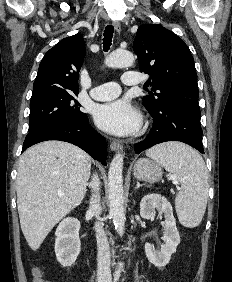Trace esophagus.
I'll use <instances>...</instances> for the list:
<instances>
[{
	"mask_svg": "<svg viewBox=\"0 0 232 282\" xmlns=\"http://www.w3.org/2000/svg\"><path fill=\"white\" fill-rule=\"evenodd\" d=\"M112 25L114 26V28L117 32H120L121 25L118 21H113ZM110 148H111L112 151H121L122 150V146H121L120 142L117 141V140L111 141Z\"/></svg>",
	"mask_w": 232,
	"mask_h": 282,
	"instance_id": "esophagus-1",
	"label": "esophagus"
}]
</instances>
